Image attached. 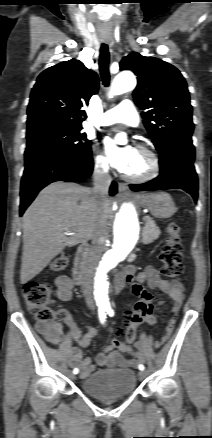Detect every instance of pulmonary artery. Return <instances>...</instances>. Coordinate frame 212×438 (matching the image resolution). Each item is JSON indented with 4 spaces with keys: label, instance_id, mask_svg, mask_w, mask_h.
Wrapping results in <instances>:
<instances>
[{
    "label": "pulmonary artery",
    "instance_id": "1",
    "mask_svg": "<svg viewBox=\"0 0 212 438\" xmlns=\"http://www.w3.org/2000/svg\"><path fill=\"white\" fill-rule=\"evenodd\" d=\"M101 125L107 126L114 123H124L138 126V113L130 100L121 101L116 107L106 111L101 118Z\"/></svg>",
    "mask_w": 212,
    "mask_h": 438
}]
</instances>
